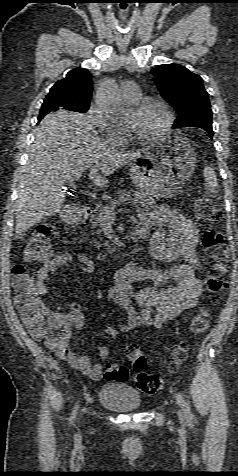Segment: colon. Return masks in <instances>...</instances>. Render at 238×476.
I'll list each match as a JSON object with an SVG mask.
<instances>
[{
    "mask_svg": "<svg viewBox=\"0 0 238 476\" xmlns=\"http://www.w3.org/2000/svg\"><path fill=\"white\" fill-rule=\"evenodd\" d=\"M195 214L199 224L205 228L201 246L210 264L207 288L212 293H218L228 286L229 247L223 233L217 228L221 213L211 200L201 198L196 203ZM53 235V227H38L27 241L23 252L24 259L26 261L49 260L52 256L51 242ZM12 282L16 307L30 333L37 338L46 336L49 347L57 348L65 341L69 331L66 329L57 331L46 329V307L39 298L36 284L30 272L23 265H15L12 269ZM208 325L209 314L202 310L192 317L190 330L195 334H201L207 330ZM125 352L132 370L137 374L135 377L137 389L145 394L158 392L162 387L163 379L156 374L146 372V356L141 348L136 344H128ZM186 352L187 346L182 344L177 350L174 369L185 358ZM127 375L128 370L122 364L110 363L105 368L104 377L107 380L123 381Z\"/></svg>",
    "mask_w": 238,
    "mask_h": 476,
    "instance_id": "1",
    "label": "colon"
}]
</instances>
